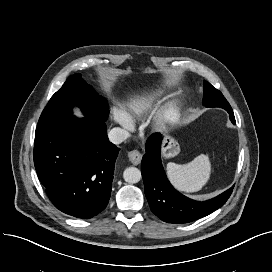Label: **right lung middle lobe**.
I'll return each mask as SVG.
<instances>
[{
	"label": "right lung middle lobe",
	"mask_w": 272,
	"mask_h": 272,
	"mask_svg": "<svg viewBox=\"0 0 272 272\" xmlns=\"http://www.w3.org/2000/svg\"><path fill=\"white\" fill-rule=\"evenodd\" d=\"M78 106L85 118L92 122H105L109 114L107 100L99 96L80 74L69 77L43 110L37 127L63 124L72 115V107Z\"/></svg>",
	"instance_id": "right-lung-middle-lobe-1"
}]
</instances>
